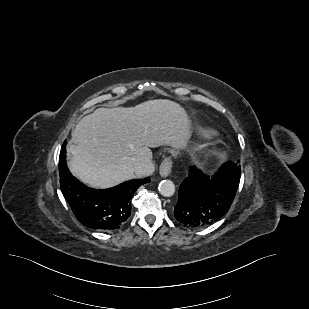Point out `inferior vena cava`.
Segmentation results:
<instances>
[{
  "label": "inferior vena cava",
  "instance_id": "inferior-vena-cava-1",
  "mask_svg": "<svg viewBox=\"0 0 309 309\" xmlns=\"http://www.w3.org/2000/svg\"><path fill=\"white\" fill-rule=\"evenodd\" d=\"M143 170V165L134 159V171L135 173H141Z\"/></svg>",
  "mask_w": 309,
  "mask_h": 309
}]
</instances>
